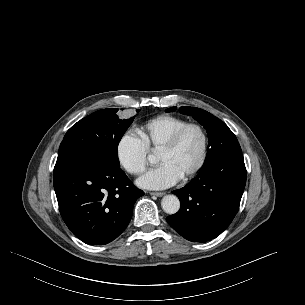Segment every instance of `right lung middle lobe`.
Segmentation results:
<instances>
[{
    "label": "right lung middle lobe",
    "instance_id": "right-lung-middle-lobe-1",
    "mask_svg": "<svg viewBox=\"0 0 305 305\" xmlns=\"http://www.w3.org/2000/svg\"><path fill=\"white\" fill-rule=\"evenodd\" d=\"M117 111L99 110L74 124L61 142L56 164L91 159L119 168L118 144L134 117L119 119Z\"/></svg>",
    "mask_w": 305,
    "mask_h": 305
}]
</instances>
